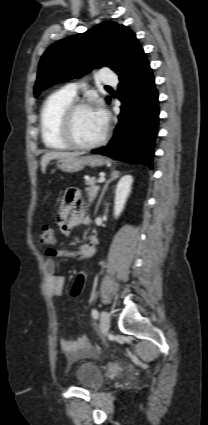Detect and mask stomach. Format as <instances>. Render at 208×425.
<instances>
[{"label":"stomach","instance_id":"obj_1","mask_svg":"<svg viewBox=\"0 0 208 425\" xmlns=\"http://www.w3.org/2000/svg\"><path fill=\"white\" fill-rule=\"evenodd\" d=\"M106 163H108V159L102 156L89 155L85 157H70L59 159L57 166L64 172L76 173L82 170L85 166L100 167Z\"/></svg>","mask_w":208,"mask_h":425}]
</instances>
